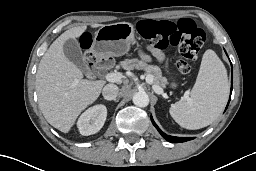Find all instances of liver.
Here are the masks:
<instances>
[{
	"label": "liver",
	"instance_id": "liver-1",
	"mask_svg": "<svg viewBox=\"0 0 256 171\" xmlns=\"http://www.w3.org/2000/svg\"><path fill=\"white\" fill-rule=\"evenodd\" d=\"M104 26L92 24V28ZM86 25L61 34L43 55L36 73L39 108L54 128L68 133L79 114L99 97L105 84L101 80L83 79L80 69L67 59L63 44L78 38Z\"/></svg>",
	"mask_w": 256,
	"mask_h": 171
}]
</instances>
